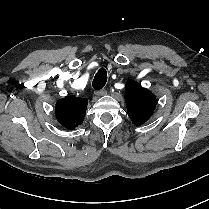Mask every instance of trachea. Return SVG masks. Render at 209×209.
<instances>
[{"label": "trachea", "mask_w": 209, "mask_h": 209, "mask_svg": "<svg viewBox=\"0 0 209 209\" xmlns=\"http://www.w3.org/2000/svg\"><path fill=\"white\" fill-rule=\"evenodd\" d=\"M106 81H107V71L104 68H101L93 79V83H92L93 88L95 90L102 89L105 86Z\"/></svg>", "instance_id": "1"}]
</instances>
